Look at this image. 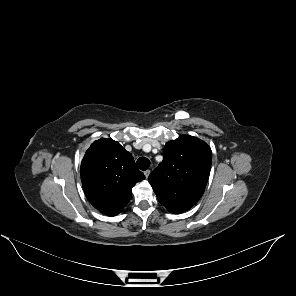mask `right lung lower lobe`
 Returning <instances> with one entry per match:
<instances>
[{"mask_svg":"<svg viewBox=\"0 0 296 296\" xmlns=\"http://www.w3.org/2000/svg\"><path fill=\"white\" fill-rule=\"evenodd\" d=\"M118 213H120V212H118ZM118 213H116L115 215H117ZM106 215H108V214H106ZM115 215H108V216H115Z\"/></svg>","mask_w":296,"mask_h":296,"instance_id":"right-lung-lower-lobe-1","label":"right lung lower lobe"}]
</instances>
